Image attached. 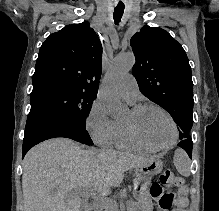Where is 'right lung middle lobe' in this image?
<instances>
[{
	"label": "right lung middle lobe",
	"instance_id": "obj_1",
	"mask_svg": "<svg viewBox=\"0 0 219 211\" xmlns=\"http://www.w3.org/2000/svg\"><path fill=\"white\" fill-rule=\"evenodd\" d=\"M95 97L71 87L53 84L32 92L30 102L31 109H51L85 126Z\"/></svg>",
	"mask_w": 219,
	"mask_h": 211
}]
</instances>
